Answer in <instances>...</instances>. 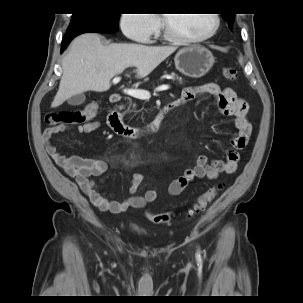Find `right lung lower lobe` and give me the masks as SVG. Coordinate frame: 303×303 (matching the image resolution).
<instances>
[{"label":"right lung lower lobe","mask_w":303,"mask_h":303,"mask_svg":"<svg viewBox=\"0 0 303 303\" xmlns=\"http://www.w3.org/2000/svg\"><path fill=\"white\" fill-rule=\"evenodd\" d=\"M117 31H118V27L113 25H90L72 32H67L62 40L61 53L67 48L71 40L74 37L78 36L79 34L88 33V32L114 33Z\"/></svg>","instance_id":"1"}]
</instances>
